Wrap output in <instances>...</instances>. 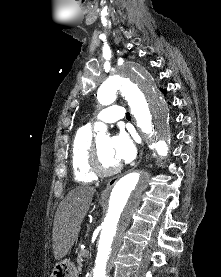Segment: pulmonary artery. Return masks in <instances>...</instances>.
<instances>
[{
  "label": "pulmonary artery",
  "mask_w": 221,
  "mask_h": 277,
  "mask_svg": "<svg viewBox=\"0 0 221 277\" xmlns=\"http://www.w3.org/2000/svg\"><path fill=\"white\" fill-rule=\"evenodd\" d=\"M124 117H125V111L122 106L111 105L101 110L98 113L96 119L105 123H114L118 120L123 119Z\"/></svg>",
  "instance_id": "1"
}]
</instances>
